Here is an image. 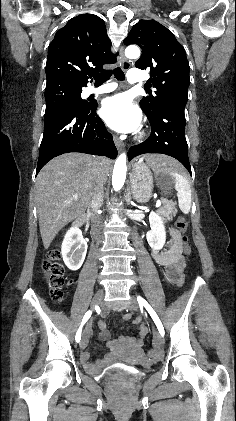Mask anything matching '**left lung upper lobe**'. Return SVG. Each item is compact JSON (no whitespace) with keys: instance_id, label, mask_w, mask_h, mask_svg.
<instances>
[{"instance_id":"1","label":"left lung upper lobe","mask_w":236,"mask_h":421,"mask_svg":"<svg viewBox=\"0 0 236 421\" xmlns=\"http://www.w3.org/2000/svg\"><path fill=\"white\" fill-rule=\"evenodd\" d=\"M124 44L141 47L142 55L135 66L150 70L149 82L157 89L140 101L147 116L170 101L186 104L190 68L183 46L168 29L155 20H140L133 26Z\"/></svg>"}]
</instances>
